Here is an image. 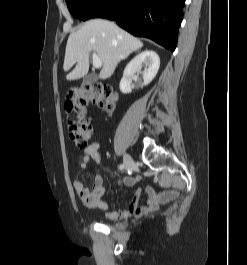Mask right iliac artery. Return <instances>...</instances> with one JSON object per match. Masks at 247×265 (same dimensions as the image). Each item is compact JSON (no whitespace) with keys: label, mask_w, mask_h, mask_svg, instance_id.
I'll return each mask as SVG.
<instances>
[{"label":"right iliac artery","mask_w":247,"mask_h":265,"mask_svg":"<svg viewBox=\"0 0 247 265\" xmlns=\"http://www.w3.org/2000/svg\"><path fill=\"white\" fill-rule=\"evenodd\" d=\"M119 168H120V170L124 169V164H121V165L119 166Z\"/></svg>","instance_id":"82829eb1"}]
</instances>
